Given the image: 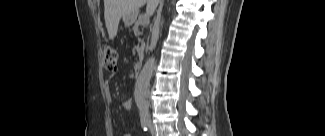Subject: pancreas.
Here are the masks:
<instances>
[{
	"label": "pancreas",
	"instance_id": "1",
	"mask_svg": "<svg viewBox=\"0 0 325 136\" xmlns=\"http://www.w3.org/2000/svg\"><path fill=\"white\" fill-rule=\"evenodd\" d=\"M139 28H140V25L139 24H135L134 28H130L129 29V32L136 34V37L138 39H141L143 37V34L140 32V29Z\"/></svg>",
	"mask_w": 325,
	"mask_h": 136
}]
</instances>
